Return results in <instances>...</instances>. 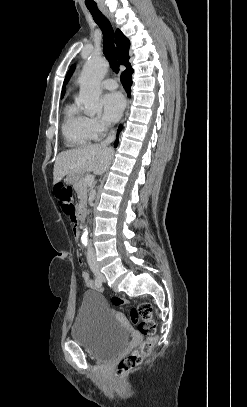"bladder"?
Here are the masks:
<instances>
[{
  "label": "bladder",
  "instance_id": "bladder-1",
  "mask_svg": "<svg viewBox=\"0 0 247 407\" xmlns=\"http://www.w3.org/2000/svg\"><path fill=\"white\" fill-rule=\"evenodd\" d=\"M73 341L98 358H111L127 345L130 335L97 291H87L71 329Z\"/></svg>",
  "mask_w": 247,
  "mask_h": 407
}]
</instances>
